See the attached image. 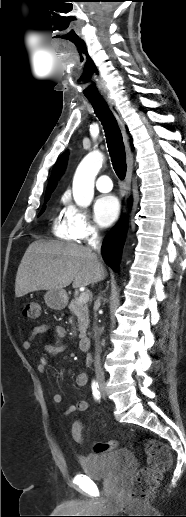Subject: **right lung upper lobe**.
Instances as JSON below:
<instances>
[{"label": "right lung upper lobe", "instance_id": "obj_1", "mask_svg": "<svg viewBox=\"0 0 186 517\" xmlns=\"http://www.w3.org/2000/svg\"><path fill=\"white\" fill-rule=\"evenodd\" d=\"M67 156H68L67 152L63 153L61 155V157L55 163V165L52 169V173H51L49 182H48L46 193L52 192L54 190L57 180H59V178L61 177L62 173L65 170L66 163H67Z\"/></svg>", "mask_w": 186, "mask_h": 517}]
</instances>
